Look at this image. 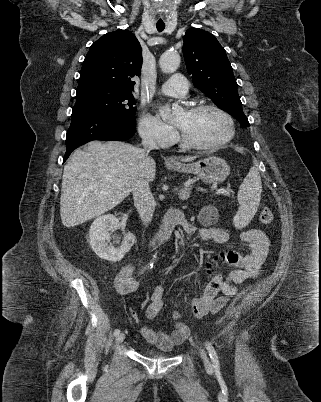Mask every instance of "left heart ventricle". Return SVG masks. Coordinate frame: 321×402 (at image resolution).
Listing matches in <instances>:
<instances>
[{
  "label": "left heart ventricle",
  "mask_w": 321,
  "mask_h": 402,
  "mask_svg": "<svg viewBox=\"0 0 321 402\" xmlns=\"http://www.w3.org/2000/svg\"><path fill=\"white\" fill-rule=\"evenodd\" d=\"M176 122L191 141L200 144L217 142L228 133V123L225 118L211 109L182 112L178 115Z\"/></svg>",
  "instance_id": "obj_1"
}]
</instances>
